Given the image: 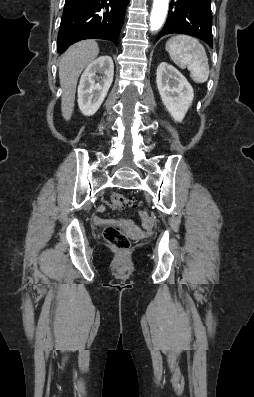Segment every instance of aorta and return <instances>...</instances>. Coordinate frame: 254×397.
<instances>
[{
  "label": "aorta",
  "instance_id": "obj_1",
  "mask_svg": "<svg viewBox=\"0 0 254 397\" xmlns=\"http://www.w3.org/2000/svg\"><path fill=\"white\" fill-rule=\"evenodd\" d=\"M169 0H154L150 16L151 31H157L163 24L167 11Z\"/></svg>",
  "mask_w": 254,
  "mask_h": 397
}]
</instances>
